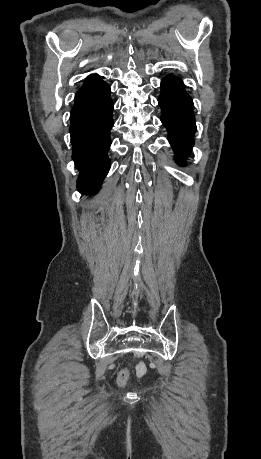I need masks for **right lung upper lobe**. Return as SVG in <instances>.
I'll return each instance as SVG.
<instances>
[{
	"label": "right lung upper lobe",
	"mask_w": 261,
	"mask_h": 459,
	"mask_svg": "<svg viewBox=\"0 0 261 459\" xmlns=\"http://www.w3.org/2000/svg\"><path fill=\"white\" fill-rule=\"evenodd\" d=\"M104 83L101 80V77L96 74H92L88 76L83 84V86L77 91L75 99L78 97L84 95L85 93L91 91L92 89L96 88L97 86L101 85Z\"/></svg>",
	"instance_id": "cb5924a9"
}]
</instances>
